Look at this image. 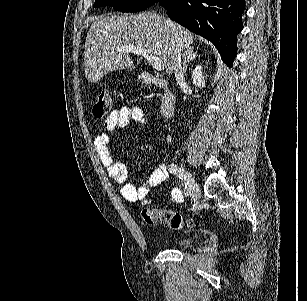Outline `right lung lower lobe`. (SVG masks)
Returning <instances> with one entry per match:
<instances>
[{
  "label": "right lung lower lobe",
  "instance_id": "1",
  "mask_svg": "<svg viewBox=\"0 0 307 301\" xmlns=\"http://www.w3.org/2000/svg\"><path fill=\"white\" fill-rule=\"evenodd\" d=\"M245 0H159L170 19L211 41L232 63L236 35L242 31ZM227 46V47H226Z\"/></svg>",
  "mask_w": 307,
  "mask_h": 301
}]
</instances>
